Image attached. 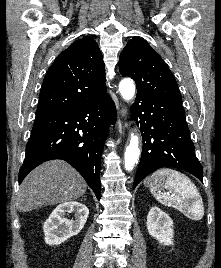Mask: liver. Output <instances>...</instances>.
Here are the masks:
<instances>
[{
  "mask_svg": "<svg viewBox=\"0 0 221 268\" xmlns=\"http://www.w3.org/2000/svg\"><path fill=\"white\" fill-rule=\"evenodd\" d=\"M86 188L85 180L69 164L60 160L49 161L26 176L18 192L17 208L28 212L73 201L81 197Z\"/></svg>",
  "mask_w": 221,
  "mask_h": 268,
  "instance_id": "6515ba94",
  "label": "liver"
}]
</instances>
